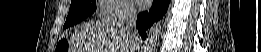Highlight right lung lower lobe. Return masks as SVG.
<instances>
[{"label":"right lung lower lobe","instance_id":"98d812e1","mask_svg":"<svg viewBox=\"0 0 261 52\" xmlns=\"http://www.w3.org/2000/svg\"><path fill=\"white\" fill-rule=\"evenodd\" d=\"M168 5L169 0H154L149 12L146 11L138 15L136 27L143 39L146 38V30L163 17Z\"/></svg>","mask_w":261,"mask_h":52}]
</instances>
